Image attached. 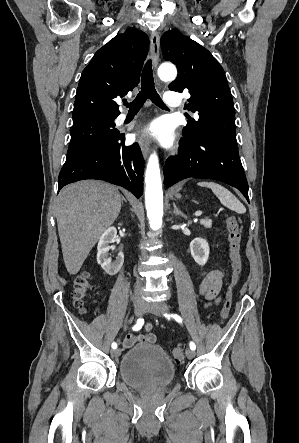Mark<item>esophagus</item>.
Segmentation results:
<instances>
[{
  "instance_id": "1",
  "label": "esophagus",
  "mask_w": 299,
  "mask_h": 443,
  "mask_svg": "<svg viewBox=\"0 0 299 443\" xmlns=\"http://www.w3.org/2000/svg\"><path fill=\"white\" fill-rule=\"evenodd\" d=\"M150 52H151L153 64L156 67L159 62V53H160V39H159V34L157 32H153L151 35ZM158 85H159V83H158ZM138 142H139V146L141 148L143 156L145 158H147L148 153H149V149H150V142H149L148 137L141 136L139 138Z\"/></svg>"
}]
</instances>
